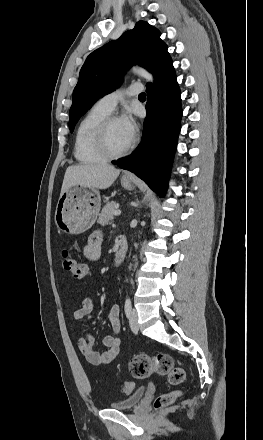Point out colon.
<instances>
[{"mask_svg": "<svg viewBox=\"0 0 263 440\" xmlns=\"http://www.w3.org/2000/svg\"><path fill=\"white\" fill-rule=\"evenodd\" d=\"M63 267L77 279H84L88 275V267L81 260L71 256L67 249L61 251ZM131 375L136 379H145L152 373L165 375L171 385H179L185 380V371L176 366L172 357L166 353H157L153 356L139 354L134 356L129 364ZM132 383L127 381L122 384V392L129 394L132 391ZM179 396V392H170L158 396L154 406L162 409L172 405Z\"/></svg>", "mask_w": 263, "mask_h": 440, "instance_id": "colon-1", "label": "colon"}]
</instances>
